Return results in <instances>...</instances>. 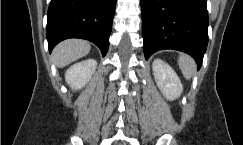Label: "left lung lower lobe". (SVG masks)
I'll use <instances>...</instances> for the list:
<instances>
[{
    "mask_svg": "<svg viewBox=\"0 0 243 145\" xmlns=\"http://www.w3.org/2000/svg\"><path fill=\"white\" fill-rule=\"evenodd\" d=\"M207 0H141L145 58L162 49L190 54L201 66L208 44Z\"/></svg>",
    "mask_w": 243,
    "mask_h": 145,
    "instance_id": "obj_1",
    "label": "left lung lower lobe"
}]
</instances>
